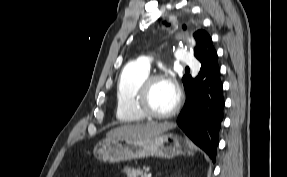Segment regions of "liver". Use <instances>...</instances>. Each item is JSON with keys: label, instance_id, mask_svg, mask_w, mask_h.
I'll return each mask as SVG.
<instances>
[{"label": "liver", "instance_id": "1", "mask_svg": "<svg viewBox=\"0 0 287 177\" xmlns=\"http://www.w3.org/2000/svg\"><path fill=\"white\" fill-rule=\"evenodd\" d=\"M174 127L175 125L169 122L123 125L110 130L106 136L107 138L145 139L166 132Z\"/></svg>", "mask_w": 287, "mask_h": 177}]
</instances>
